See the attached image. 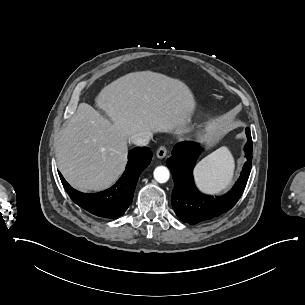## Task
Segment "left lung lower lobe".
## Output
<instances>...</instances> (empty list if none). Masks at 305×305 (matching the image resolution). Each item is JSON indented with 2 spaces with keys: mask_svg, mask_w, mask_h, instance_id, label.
<instances>
[{
  "mask_svg": "<svg viewBox=\"0 0 305 305\" xmlns=\"http://www.w3.org/2000/svg\"><path fill=\"white\" fill-rule=\"evenodd\" d=\"M246 136L247 162L240 178L226 195L215 198L201 194L194 185L192 170L201 151L199 145L191 141L175 145L172 156L166 163L174 180L172 207L181 221L194 225L225 213L237 203L245 189L252 166L253 144L249 128H246Z\"/></svg>",
  "mask_w": 305,
  "mask_h": 305,
  "instance_id": "obj_1",
  "label": "left lung lower lobe"
}]
</instances>
